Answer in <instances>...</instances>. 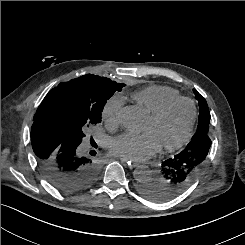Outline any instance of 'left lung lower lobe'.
<instances>
[{"label":"left lung lower lobe","instance_id":"left-lung-lower-lobe-1","mask_svg":"<svg viewBox=\"0 0 245 245\" xmlns=\"http://www.w3.org/2000/svg\"><path fill=\"white\" fill-rule=\"evenodd\" d=\"M210 146L208 135L191 139L183 151L165 160L160 173L143 183L139 191L155 202H166L177 197L200 173Z\"/></svg>","mask_w":245,"mask_h":245}]
</instances>
